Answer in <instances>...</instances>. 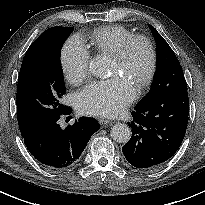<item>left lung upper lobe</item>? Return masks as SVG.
Here are the masks:
<instances>
[{
	"mask_svg": "<svg viewBox=\"0 0 205 205\" xmlns=\"http://www.w3.org/2000/svg\"><path fill=\"white\" fill-rule=\"evenodd\" d=\"M150 29L157 44V69L149 93L138 105L149 102L156 97L173 94L181 86L187 85L175 53L151 25Z\"/></svg>",
	"mask_w": 205,
	"mask_h": 205,
	"instance_id": "1",
	"label": "left lung upper lobe"
}]
</instances>
